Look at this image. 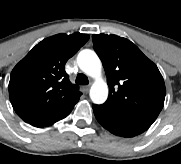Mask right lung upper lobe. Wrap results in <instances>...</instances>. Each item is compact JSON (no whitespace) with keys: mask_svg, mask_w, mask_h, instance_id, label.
<instances>
[{"mask_svg":"<svg viewBox=\"0 0 181 164\" xmlns=\"http://www.w3.org/2000/svg\"><path fill=\"white\" fill-rule=\"evenodd\" d=\"M89 35L57 34L38 43L12 70L11 104L25 122L49 126L72 111L81 92L65 72V64Z\"/></svg>","mask_w":181,"mask_h":164,"instance_id":"obj_1","label":"right lung upper lobe"}]
</instances>
